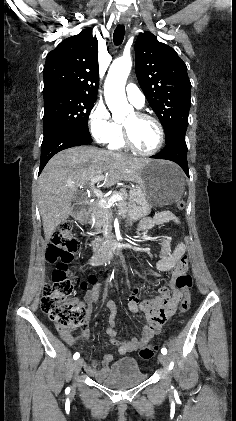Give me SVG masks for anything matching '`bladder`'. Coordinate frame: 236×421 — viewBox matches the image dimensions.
I'll use <instances>...</instances> for the list:
<instances>
[{
  "label": "bladder",
  "mask_w": 236,
  "mask_h": 421,
  "mask_svg": "<svg viewBox=\"0 0 236 421\" xmlns=\"http://www.w3.org/2000/svg\"><path fill=\"white\" fill-rule=\"evenodd\" d=\"M102 379V385L126 389L139 385L146 380L134 358L123 357L110 366Z\"/></svg>",
  "instance_id": "1"
}]
</instances>
